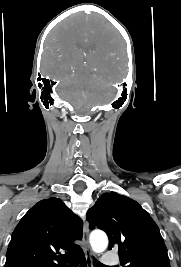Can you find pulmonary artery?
<instances>
[{
    "label": "pulmonary artery",
    "instance_id": "1",
    "mask_svg": "<svg viewBox=\"0 0 181 267\" xmlns=\"http://www.w3.org/2000/svg\"><path fill=\"white\" fill-rule=\"evenodd\" d=\"M102 263L104 265H114L117 263V258L111 256L110 254L106 253L102 257Z\"/></svg>",
    "mask_w": 181,
    "mask_h": 267
}]
</instances>
